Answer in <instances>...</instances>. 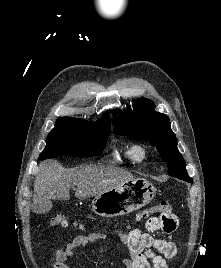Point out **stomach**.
I'll list each match as a JSON object with an SVG mask.
<instances>
[{"label": "stomach", "mask_w": 221, "mask_h": 268, "mask_svg": "<svg viewBox=\"0 0 221 268\" xmlns=\"http://www.w3.org/2000/svg\"><path fill=\"white\" fill-rule=\"evenodd\" d=\"M156 189L144 179H132L92 200V210L101 217L129 214L148 204Z\"/></svg>", "instance_id": "obj_1"}]
</instances>
